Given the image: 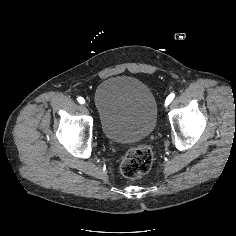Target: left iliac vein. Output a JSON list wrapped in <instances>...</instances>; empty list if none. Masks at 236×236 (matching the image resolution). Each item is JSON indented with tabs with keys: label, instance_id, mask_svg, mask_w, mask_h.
Wrapping results in <instances>:
<instances>
[{
	"label": "left iliac vein",
	"instance_id": "4c4485c4",
	"mask_svg": "<svg viewBox=\"0 0 236 236\" xmlns=\"http://www.w3.org/2000/svg\"><path fill=\"white\" fill-rule=\"evenodd\" d=\"M166 103H167V104H166ZM166 103L163 104V106H162V108H163L162 111H163V114H164V115H167L168 112H169V110H170V109H169V106H168V105H169V104H168L169 102L167 101Z\"/></svg>",
	"mask_w": 236,
	"mask_h": 236
}]
</instances>
